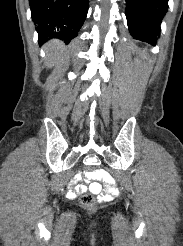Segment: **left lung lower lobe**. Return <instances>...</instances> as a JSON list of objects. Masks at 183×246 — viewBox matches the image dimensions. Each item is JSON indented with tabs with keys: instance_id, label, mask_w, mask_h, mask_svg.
Instances as JSON below:
<instances>
[{
	"instance_id": "obj_1",
	"label": "left lung lower lobe",
	"mask_w": 183,
	"mask_h": 246,
	"mask_svg": "<svg viewBox=\"0 0 183 246\" xmlns=\"http://www.w3.org/2000/svg\"><path fill=\"white\" fill-rule=\"evenodd\" d=\"M168 0H126V18L134 39L156 44Z\"/></svg>"
}]
</instances>
